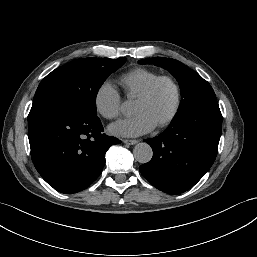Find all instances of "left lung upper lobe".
Here are the masks:
<instances>
[{
	"instance_id": "5c2ea615",
	"label": "left lung upper lobe",
	"mask_w": 257,
	"mask_h": 257,
	"mask_svg": "<svg viewBox=\"0 0 257 257\" xmlns=\"http://www.w3.org/2000/svg\"><path fill=\"white\" fill-rule=\"evenodd\" d=\"M139 63H154V65L168 70L178 80L182 100L174 119H179L205 104L217 102L210 84L183 63L165 57L147 58L140 60Z\"/></svg>"
}]
</instances>
